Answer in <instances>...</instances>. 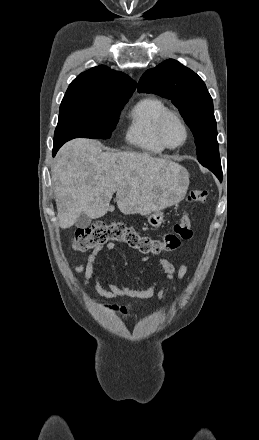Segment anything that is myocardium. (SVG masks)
<instances>
[{
  "label": "myocardium",
  "instance_id": "myocardium-1",
  "mask_svg": "<svg viewBox=\"0 0 259 440\" xmlns=\"http://www.w3.org/2000/svg\"><path fill=\"white\" fill-rule=\"evenodd\" d=\"M171 117L176 118L184 130L183 141L177 145H174V146L168 144L165 139V136H164L165 124H166L167 120ZM156 135H157V138H158L160 144L165 149L175 150V149L182 147L187 142V140L189 138V127H188L186 121L184 120L183 116L178 111L168 109L159 118V121H158L157 127H156Z\"/></svg>",
  "mask_w": 259,
  "mask_h": 440
}]
</instances>
